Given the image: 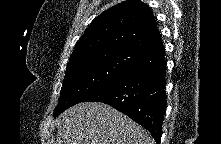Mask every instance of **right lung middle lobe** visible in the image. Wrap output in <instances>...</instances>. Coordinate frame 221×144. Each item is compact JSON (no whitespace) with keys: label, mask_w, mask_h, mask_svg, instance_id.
<instances>
[{"label":"right lung middle lobe","mask_w":221,"mask_h":144,"mask_svg":"<svg viewBox=\"0 0 221 144\" xmlns=\"http://www.w3.org/2000/svg\"><path fill=\"white\" fill-rule=\"evenodd\" d=\"M141 57L126 51L111 50L94 53L67 64L54 117L83 102L89 95L118 78Z\"/></svg>","instance_id":"obj_1"}]
</instances>
